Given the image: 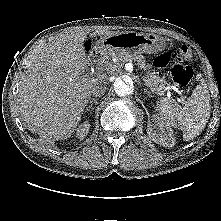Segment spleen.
<instances>
[{
	"label": "spleen",
	"instance_id": "3e777b00",
	"mask_svg": "<svg viewBox=\"0 0 221 221\" xmlns=\"http://www.w3.org/2000/svg\"><path fill=\"white\" fill-rule=\"evenodd\" d=\"M160 119L168 126L178 128L185 140L198 136L210 117V96L206 84H199L183 106L174 99H162L157 103Z\"/></svg>",
	"mask_w": 221,
	"mask_h": 221
}]
</instances>
